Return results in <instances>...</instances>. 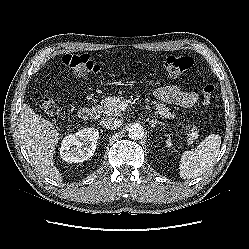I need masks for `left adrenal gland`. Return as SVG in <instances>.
Returning <instances> with one entry per match:
<instances>
[{"label": "left adrenal gland", "instance_id": "1", "mask_svg": "<svg viewBox=\"0 0 249 249\" xmlns=\"http://www.w3.org/2000/svg\"><path fill=\"white\" fill-rule=\"evenodd\" d=\"M149 123H150V125H151L152 127H155V125H157V124L164 125L163 122H161V121H159V120H157V119H152V120L149 121Z\"/></svg>", "mask_w": 249, "mask_h": 249}]
</instances>
